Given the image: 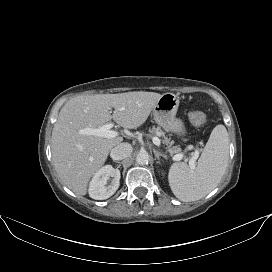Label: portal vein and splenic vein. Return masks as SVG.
Instances as JSON below:
<instances>
[{
    "instance_id": "18ae733b",
    "label": "portal vein and splenic vein",
    "mask_w": 272,
    "mask_h": 272,
    "mask_svg": "<svg viewBox=\"0 0 272 272\" xmlns=\"http://www.w3.org/2000/svg\"><path fill=\"white\" fill-rule=\"evenodd\" d=\"M113 126L114 124L107 123L98 128L87 127L82 129L81 133L86 135H95L99 137H105V138H114L118 135V132L115 130H111ZM152 141L157 147H160L161 141L158 137H153ZM182 158H183V154H176L173 157V160L180 161ZM197 158H198V152H195L194 156L189 160V166L192 170L196 168L195 161Z\"/></svg>"
}]
</instances>
